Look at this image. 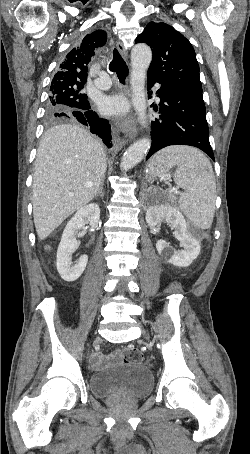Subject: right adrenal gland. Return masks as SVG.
Wrapping results in <instances>:
<instances>
[{
    "mask_svg": "<svg viewBox=\"0 0 250 454\" xmlns=\"http://www.w3.org/2000/svg\"><path fill=\"white\" fill-rule=\"evenodd\" d=\"M103 185H104V179L102 180L101 185H100V187H99V190H98V192H97V194H96L97 197H98V196H101V197L103 198V196H104V193H103Z\"/></svg>",
    "mask_w": 250,
    "mask_h": 454,
    "instance_id": "right-adrenal-gland-1",
    "label": "right adrenal gland"
}]
</instances>
